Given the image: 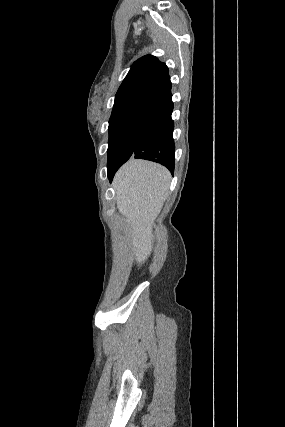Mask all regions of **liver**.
Returning <instances> with one entry per match:
<instances>
[{
  "label": "liver",
  "instance_id": "liver-1",
  "mask_svg": "<svg viewBox=\"0 0 285 427\" xmlns=\"http://www.w3.org/2000/svg\"><path fill=\"white\" fill-rule=\"evenodd\" d=\"M170 172L160 164L130 159L116 173L113 186L119 212L129 222V237L141 265L152 250V227L168 194Z\"/></svg>",
  "mask_w": 285,
  "mask_h": 427
}]
</instances>
